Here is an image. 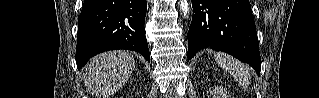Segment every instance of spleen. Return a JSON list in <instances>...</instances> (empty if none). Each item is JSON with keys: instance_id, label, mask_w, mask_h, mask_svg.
<instances>
[{"instance_id": "1", "label": "spleen", "mask_w": 319, "mask_h": 98, "mask_svg": "<svg viewBox=\"0 0 319 98\" xmlns=\"http://www.w3.org/2000/svg\"><path fill=\"white\" fill-rule=\"evenodd\" d=\"M215 59L221 68L228 71L241 86L247 87L249 70L245 65L226 54H216Z\"/></svg>"}]
</instances>
